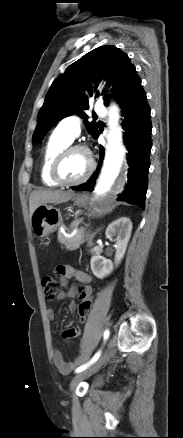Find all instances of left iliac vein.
Segmentation results:
<instances>
[{
	"label": "left iliac vein",
	"instance_id": "1",
	"mask_svg": "<svg viewBox=\"0 0 183 438\" xmlns=\"http://www.w3.org/2000/svg\"><path fill=\"white\" fill-rule=\"evenodd\" d=\"M114 345H115V341H111L107 350L101 355V357L92 366H90L86 370L76 374L73 377V379L70 383L71 390H73L78 385V383L80 381H82L86 377H89L92 374H94L95 372H97L99 370V368L102 367L110 359L111 350H112V347Z\"/></svg>",
	"mask_w": 183,
	"mask_h": 438
}]
</instances>
